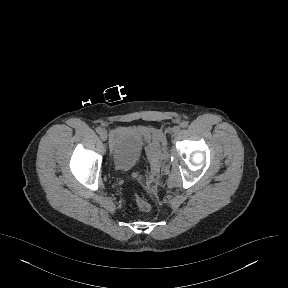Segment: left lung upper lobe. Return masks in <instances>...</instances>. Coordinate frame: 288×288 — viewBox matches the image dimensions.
I'll return each instance as SVG.
<instances>
[{"label": "left lung upper lobe", "mask_w": 288, "mask_h": 288, "mask_svg": "<svg viewBox=\"0 0 288 288\" xmlns=\"http://www.w3.org/2000/svg\"><path fill=\"white\" fill-rule=\"evenodd\" d=\"M258 215V212H254L253 213V218L256 217Z\"/></svg>", "instance_id": "left-lung-upper-lobe-1"}]
</instances>
